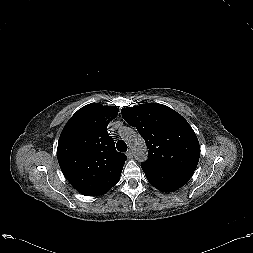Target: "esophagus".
Returning a JSON list of instances; mask_svg holds the SVG:
<instances>
[{
  "instance_id": "34e87169",
  "label": "esophagus",
  "mask_w": 253,
  "mask_h": 253,
  "mask_svg": "<svg viewBox=\"0 0 253 253\" xmlns=\"http://www.w3.org/2000/svg\"><path fill=\"white\" fill-rule=\"evenodd\" d=\"M127 157L130 159L133 157V152L129 149L126 153Z\"/></svg>"
}]
</instances>
